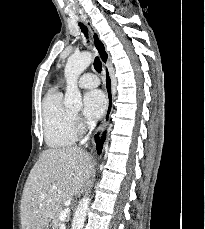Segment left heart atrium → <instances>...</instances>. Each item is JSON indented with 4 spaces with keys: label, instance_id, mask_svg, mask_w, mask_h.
Here are the masks:
<instances>
[{
    "label": "left heart atrium",
    "instance_id": "1",
    "mask_svg": "<svg viewBox=\"0 0 205 229\" xmlns=\"http://www.w3.org/2000/svg\"><path fill=\"white\" fill-rule=\"evenodd\" d=\"M84 114L89 119L100 118L107 107V99L101 90L88 91L83 99Z\"/></svg>",
    "mask_w": 205,
    "mask_h": 229
}]
</instances>
